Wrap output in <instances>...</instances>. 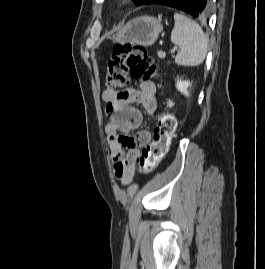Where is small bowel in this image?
I'll return each instance as SVG.
<instances>
[{
  "mask_svg": "<svg viewBox=\"0 0 265 269\" xmlns=\"http://www.w3.org/2000/svg\"><path fill=\"white\" fill-rule=\"evenodd\" d=\"M102 99L106 103V133L114 175L123 184H129L140 150L150 139L149 132L145 130L140 131L137 137L130 136V132L138 129L143 121L142 112L130 105H140L145 112L153 114L157 107L156 85L153 81L141 79L137 89L128 88L120 92L105 89Z\"/></svg>",
  "mask_w": 265,
  "mask_h": 269,
  "instance_id": "obj_1",
  "label": "small bowel"
}]
</instances>
